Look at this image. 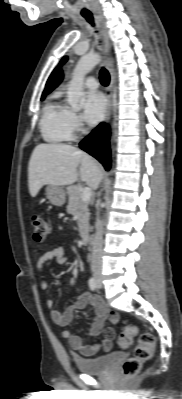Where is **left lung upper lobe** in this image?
Instances as JSON below:
<instances>
[{
	"label": "left lung upper lobe",
	"mask_w": 182,
	"mask_h": 399,
	"mask_svg": "<svg viewBox=\"0 0 182 399\" xmlns=\"http://www.w3.org/2000/svg\"><path fill=\"white\" fill-rule=\"evenodd\" d=\"M67 61V57H64L62 60H61V63H65Z\"/></svg>",
	"instance_id": "5c2ea615"
}]
</instances>
